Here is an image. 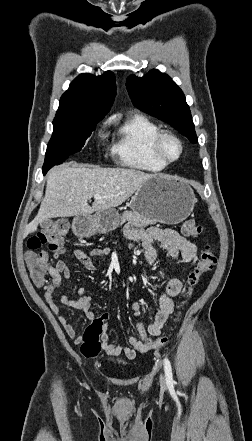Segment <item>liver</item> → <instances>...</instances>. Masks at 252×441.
<instances>
[{"instance_id":"liver-1","label":"liver","mask_w":252,"mask_h":441,"mask_svg":"<svg viewBox=\"0 0 252 441\" xmlns=\"http://www.w3.org/2000/svg\"><path fill=\"white\" fill-rule=\"evenodd\" d=\"M155 175L125 168L73 167L64 164L47 175L46 191L36 217L26 226L24 236L38 224L57 217L90 215L115 208L131 197ZM99 194L101 198H94ZM94 198L92 206L88 200Z\"/></svg>"}]
</instances>
